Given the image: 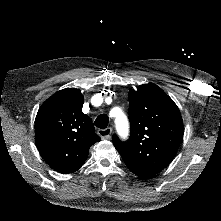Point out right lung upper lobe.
<instances>
[{"mask_svg":"<svg viewBox=\"0 0 221 221\" xmlns=\"http://www.w3.org/2000/svg\"><path fill=\"white\" fill-rule=\"evenodd\" d=\"M84 98L79 89L56 92L39 108L35 120V142L45 162L60 173L78 170L89 148L101 139L89 116L82 112Z\"/></svg>","mask_w":221,"mask_h":221,"instance_id":"1","label":"right lung upper lobe"}]
</instances>
